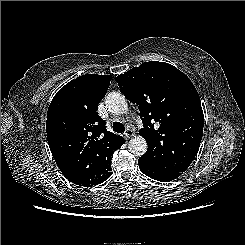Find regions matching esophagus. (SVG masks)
Returning <instances> with one entry per match:
<instances>
[{
  "instance_id": "1",
  "label": "esophagus",
  "mask_w": 245,
  "mask_h": 245,
  "mask_svg": "<svg viewBox=\"0 0 245 245\" xmlns=\"http://www.w3.org/2000/svg\"><path fill=\"white\" fill-rule=\"evenodd\" d=\"M134 135L135 134H134L133 130H131L130 128L126 129V131L124 133V137L126 139H130V138L134 137Z\"/></svg>"
}]
</instances>
